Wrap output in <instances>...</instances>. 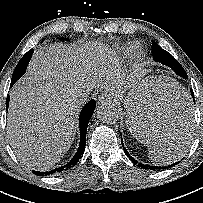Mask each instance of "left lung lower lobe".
Here are the masks:
<instances>
[{
	"instance_id": "left-lung-lower-lobe-1",
	"label": "left lung lower lobe",
	"mask_w": 203,
	"mask_h": 203,
	"mask_svg": "<svg viewBox=\"0 0 203 203\" xmlns=\"http://www.w3.org/2000/svg\"><path fill=\"white\" fill-rule=\"evenodd\" d=\"M152 55H153V59L156 62H160L163 65L170 67L179 76H181L185 79L187 78V74H186V72L183 71V68L180 65V63L176 59H174V57L169 52L161 49V50H156ZM191 95L194 98V94H193L192 90H191ZM138 104H136L134 107L133 116H137L138 118L142 117V121L151 122V118H150L151 113H154V115H155L157 112L156 109L155 110L149 109L148 107H146V104H143V103H142V106L138 105ZM138 106H140L139 110H137ZM181 111H182L181 113H178V115L181 116V123L178 128V129H180L179 130L180 133H178V135L174 136V138H172L171 140L176 145H181V146L185 147V146H187V144H186L187 142L184 143V141L187 140L186 137L189 136L188 134L190 132V131H187L188 123H186V122H188L190 120L191 113L189 111L187 112V109H182ZM121 141H122V136H121ZM189 141H190V136H189ZM122 146H123L125 154L130 158V160L134 164H137L138 161L135 160L132 156H130L128 151L125 149V147L123 145V141H122ZM179 162H176L173 165H177ZM173 165H170V166H173ZM138 166L143 169H149V170H158V169L168 168V167H161V166H152V165H147V164H142V163H139Z\"/></svg>"
}]
</instances>
